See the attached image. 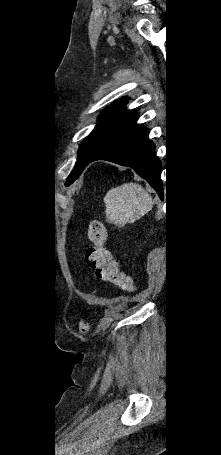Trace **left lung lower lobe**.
Segmentation results:
<instances>
[{
    "label": "left lung lower lobe",
    "instance_id": "obj_1",
    "mask_svg": "<svg viewBox=\"0 0 221 455\" xmlns=\"http://www.w3.org/2000/svg\"><path fill=\"white\" fill-rule=\"evenodd\" d=\"M154 144L145 138L143 125L133 124L104 146L90 162L107 160L133 168L163 197L161 162L154 152Z\"/></svg>",
    "mask_w": 221,
    "mask_h": 455
}]
</instances>
